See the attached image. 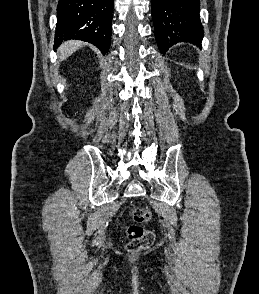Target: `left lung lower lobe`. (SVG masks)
<instances>
[{"label": "left lung lower lobe", "instance_id": "0a47b994", "mask_svg": "<svg viewBox=\"0 0 259 294\" xmlns=\"http://www.w3.org/2000/svg\"><path fill=\"white\" fill-rule=\"evenodd\" d=\"M200 0H152L155 36L162 52L178 42L201 46Z\"/></svg>", "mask_w": 259, "mask_h": 294}]
</instances>
